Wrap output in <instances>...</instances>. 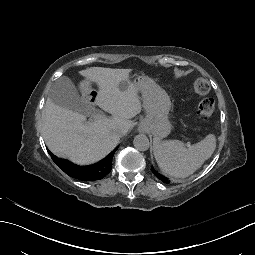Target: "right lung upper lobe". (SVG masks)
Wrapping results in <instances>:
<instances>
[{
	"instance_id": "right-lung-upper-lobe-1",
	"label": "right lung upper lobe",
	"mask_w": 255,
	"mask_h": 255,
	"mask_svg": "<svg viewBox=\"0 0 255 255\" xmlns=\"http://www.w3.org/2000/svg\"><path fill=\"white\" fill-rule=\"evenodd\" d=\"M115 148L106 158L100 162L89 166H78L67 160L58 158L49 152L52 160L57 166L70 177L76 178L81 181H95L102 179L111 172L112 158L114 156Z\"/></svg>"
}]
</instances>
